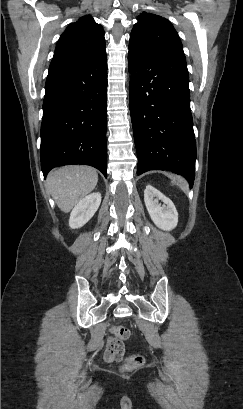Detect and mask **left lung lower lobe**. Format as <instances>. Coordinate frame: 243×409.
I'll return each mask as SVG.
<instances>
[{"label": "left lung lower lobe", "instance_id": "0a47b994", "mask_svg": "<svg viewBox=\"0 0 243 409\" xmlns=\"http://www.w3.org/2000/svg\"><path fill=\"white\" fill-rule=\"evenodd\" d=\"M128 63L137 174L169 170L184 176L192 187L196 142L184 54L167 52L150 58L128 54Z\"/></svg>", "mask_w": 243, "mask_h": 409}]
</instances>
